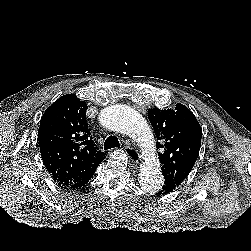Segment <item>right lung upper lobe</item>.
I'll return each mask as SVG.
<instances>
[{"label":"right lung upper lobe","mask_w":251,"mask_h":251,"mask_svg":"<svg viewBox=\"0 0 251 251\" xmlns=\"http://www.w3.org/2000/svg\"><path fill=\"white\" fill-rule=\"evenodd\" d=\"M87 104L72 94L56 100L42 115L38 141L43 163L60 186L78 189L106 157L92 140Z\"/></svg>","instance_id":"right-lung-upper-lobe-1"}]
</instances>
